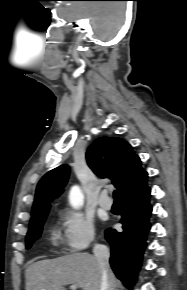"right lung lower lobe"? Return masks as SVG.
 I'll use <instances>...</instances> for the list:
<instances>
[{
  "label": "right lung lower lobe",
  "mask_w": 187,
  "mask_h": 290,
  "mask_svg": "<svg viewBox=\"0 0 187 290\" xmlns=\"http://www.w3.org/2000/svg\"><path fill=\"white\" fill-rule=\"evenodd\" d=\"M150 193L143 199L121 204L122 232L114 229L105 231V238L111 245V267L127 288L136 281L146 247L147 234L151 228L149 217L152 207Z\"/></svg>",
  "instance_id": "obj_1"
}]
</instances>
